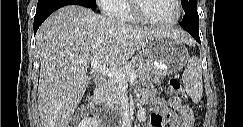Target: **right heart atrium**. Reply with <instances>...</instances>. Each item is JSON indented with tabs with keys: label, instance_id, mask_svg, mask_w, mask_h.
I'll return each instance as SVG.
<instances>
[{
	"label": "right heart atrium",
	"instance_id": "1",
	"mask_svg": "<svg viewBox=\"0 0 243 127\" xmlns=\"http://www.w3.org/2000/svg\"><path fill=\"white\" fill-rule=\"evenodd\" d=\"M116 0H97L96 3L101 8L102 12L107 15H113V3Z\"/></svg>",
	"mask_w": 243,
	"mask_h": 127
}]
</instances>
